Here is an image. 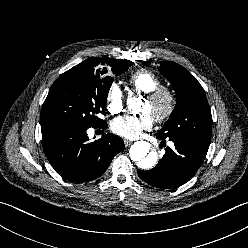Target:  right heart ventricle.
<instances>
[{
  "mask_svg": "<svg viewBox=\"0 0 248 248\" xmlns=\"http://www.w3.org/2000/svg\"><path fill=\"white\" fill-rule=\"evenodd\" d=\"M129 85L137 93L147 94L161 86L159 77L149 70H138L129 78Z\"/></svg>",
  "mask_w": 248,
  "mask_h": 248,
  "instance_id": "e07e8e85",
  "label": "right heart ventricle"
}]
</instances>
